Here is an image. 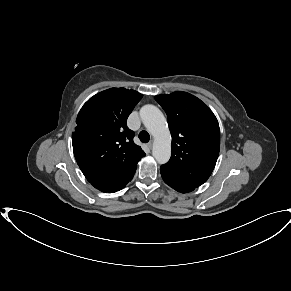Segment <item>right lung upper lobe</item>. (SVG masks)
<instances>
[{
  "instance_id": "right-lung-upper-lobe-1",
  "label": "right lung upper lobe",
  "mask_w": 291,
  "mask_h": 291,
  "mask_svg": "<svg viewBox=\"0 0 291 291\" xmlns=\"http://www.w3.org/2000/svg\"><path fill=\"white\" fill-rule=\"evenodd\" d=\"M142 97L135 90L111 88L94 95L81 108L72 144L76 161L88 180L120 177L145 156L126 124Z\"/></svg>"
}]
</instances>
